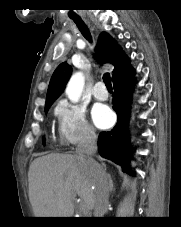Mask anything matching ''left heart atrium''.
<instances>
[{
  "mask_svg": "<svg viewBox=\"0 0 181 227\" xmlns=\"http://www.w3.org/2000/svg\"><path fill=\"white\" fill-rule=\"evenodd\" d=\"M92 119L99 128H107L112 125L114 116L109 107L105 105H96L92 109Z\"/></svg>",
  "mask_w": 181,
  "mask_h": 227,
  "instance_id": "left-heart-atrium-1",
  "label": "left heart atrium"
}]
</instances>
